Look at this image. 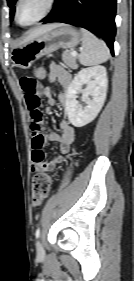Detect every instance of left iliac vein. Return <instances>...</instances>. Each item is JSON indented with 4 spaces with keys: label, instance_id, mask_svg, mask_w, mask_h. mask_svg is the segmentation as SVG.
Segmentation results:
<instances>
[{
    "label": "left iliac vein",
    "instance_id": "left-iliac-vein-1",
    "mask_svg": "<svg viewBox=\"0 0 134 281\" xmlns=\"http://www.w3.org/2000/svg\"><path fill=\"white\" fill-rule=\"evenodd\" d=\"M37 252H38V254L44 253V248H43V245L40 241L37 242Z\"/></svg>",
    "mask_w": 134,
    "mask_h": 281
}]
</instances>
